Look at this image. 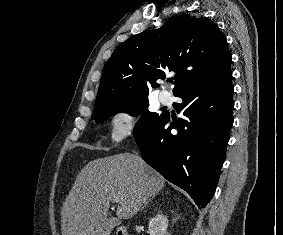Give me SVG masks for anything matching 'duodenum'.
<instances>
[{"label": "duodenum", "mask_w": 283, "mask_h": 235, "mask_svg": "<svg viewBox=\"0 0 283 235\" xmlns=\"http://www.w3.org/2000/svg\"><path fill=\"white\" fill-rule=\"evenodd\" d=\"M118 235H127V231H126V229H124V228H120L119 230H118V233H117Z\"/></svg>", "instance_id": "410a0bca"}]
</instances>
